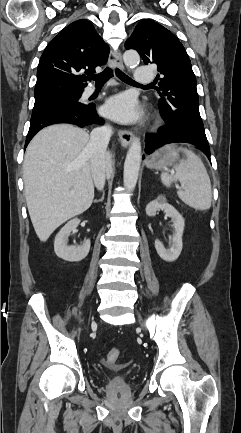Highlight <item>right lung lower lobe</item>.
Returning <instances> with one entry per match:
<instances>
[{
	"instance_id": "1",
	"label": "right lung lower lobe",
	"mask_w": 241,
	"mask_h": 433,
	"mask_svg": "<svg viewBox=\"0 0 241 433\" xmlns=\"http://www.w3.org/2000/svg\"><path fill=\"white\" fill-rule=\"evenodd\" d=\"M56 123H70L83 127L93 123L103 124L104 121L96 113L93 103L53 109L31 120L25 148L37 132L46 126Z\"/></svg>"
}]
</instances>
